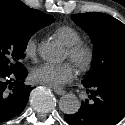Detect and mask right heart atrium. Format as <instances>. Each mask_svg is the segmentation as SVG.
Masks as SVG:
<instances>
[{"label":"right heart atrium","instance_id":"1","mask_svg":"<svg viewBox=\"0 0 125 125\" xmlns=\"http://www.w3.org/2000/svg\"><path fill=\"white\" fill-rule=\"evenodd\" d=\"M38 49V38L36 35L30 36L24 45V54L28 58H35Z\"/></svg>","mask_w":125,"mask_h":125}]
</instances>
